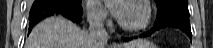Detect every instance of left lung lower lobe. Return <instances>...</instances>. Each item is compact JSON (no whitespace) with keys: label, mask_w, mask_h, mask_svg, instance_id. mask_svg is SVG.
Returning <instances> with one entry per match:
<instances>
[{"label":"left lung lower lobe","mask_w":213,"mask_h":48,"mask_svg":"<svg viewBox=\"0 0 213 48\" xmlns=\"http://www.w3.org/2000/svg\"><path fill=\"white\" fill-rule=\"evenodd\" d=\"M165 27L179 28L189 36L190 40H192L189 15L179 12H167L161 17H157L154 27L150 31L143 33L140 36L141 37L149 36L155 31ZM124 40L128 41L129 39L126 38Z\"/></svg>","instance_id":"1"}]
</instances>
